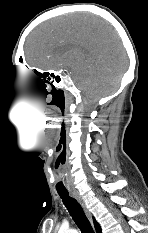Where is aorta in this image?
<instances>
[{
	"label": "aorta",
	"instance_id": "obj_1",
	"mask_svg": "<svg viewBox=\"0 0 148 233\" xmlns=\"http://www.w3.org/2000/svg\"><path fill=\"white\" fill-rule=\"evenodd\" d=\"M64 233H78V232L77 230L69 229V230H65Z\"/></svg>",
	"mask_w": 148,
	"mask_h": 233
}]
</instances>
